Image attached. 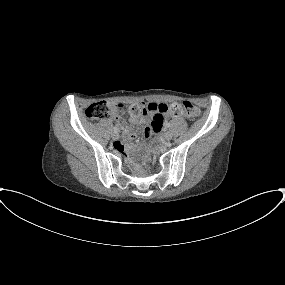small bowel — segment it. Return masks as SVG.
<instances>
[{
    "instance_id": "c3829d8e",
    "label": "small bowel",
    "mask_w": 285,
    "mask_h": 285,
    "mask_svg": "<svg viewBox=\"0 0 285 285\" xmlns=\"http://www.w3.org/2000/svg\"><path fill=\"white\" fill-rule=\"evenodd\" d=\"M146 106L147 114L150 115L151 126L145 129V135L149 136L153 131L160 130L163 126V109L167 106L163 103H157L150 101L147 103H141ZM184 115H179L178 118H182ZM149 118L147 116H135L132 117L128 124L124 125L122 129L124 130V138L118 144L117 148L121 153H125L133 142L137 139V133L134 128L138 125H144L148 123Z\"/></svg>"
}]
</instances>
